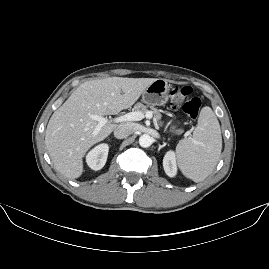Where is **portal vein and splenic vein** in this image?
<instances>
[{"label": "portal vein and splenic vein", "instance_id": "portal-vein-and-splenic-vein-1", "mask_svg": "<svg viewBox=\"0 0 269 269\" xmlns=\"http://www.w3.org/2000/svg\"><path fill=\"white\" fill-rule=\"evenodd\" d=\"M88 118L95 120L98 122L97 127L92 132V137H95L102 126L108 123H122V122H131V121H140L141 119L145 118V120L150 121L153 118L152 113L147 112L145 115H143L141 112H130L115 118H106L103 116H99L96 114H88ZM184 138H188L190 141L194 142V139L189 135V132H186L183 134Z\"/></svg>", "mask_w": 269, "mask_h": 269}]
</instances>
